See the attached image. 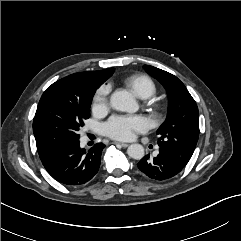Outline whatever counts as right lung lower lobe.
Here are the masks:
<instances>
[{"mask_svg": "<svg viewBox=\"0 0 241 241\" xmlns=\"http://www.w3.org/2000/svg\"><path fill=\"white\" fill-rule=\"evenodd\" d=\"M79 144L78 139L39 153L47 172L62 184L69 186L85 184L99 170L101 153L105 146L97 143L85 152Z\"/></svg>", "mask_w": 241, "mask_h": 241, "instance_id": "1", "label": "right lung lower lobe"}]
</instances>
